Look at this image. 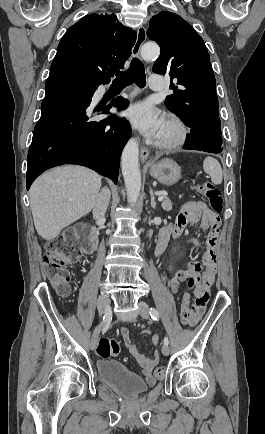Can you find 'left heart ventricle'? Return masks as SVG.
Masks as SVG:
<instances>
[{"instance_id": "left-heart-ventricle-1", "label": "left heart ventricle", "mask_w": 265, "mask_h": 434, "mask_svg": "<svg viewBox=\"0 0 265 434\" xmlns=\"http://www.w3.org/2000/svg\"><path fill=\"white\" fill-rule=\"evenodd\" d=\"M166 136H167V129H166V127H165V130H164V132H163V134H162L160 140L164 139Z\"/></svg>"}]
</instances>
